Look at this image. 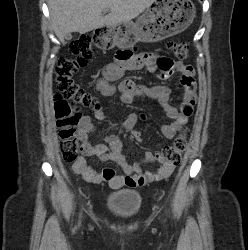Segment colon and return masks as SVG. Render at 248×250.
I'll use <instances>...</instances> for the list:
<instances>
[{
	"label": "colon",
	"instance_id": "5ec220e1",
	"mask_svg": "<svg viewBox=\"0 0 248 250\" xmlns=\"http://www.w3.org/2000/svg\"><path fill=\"white\" fill-rule=\"evenodd\" d=\"M95 38L82 35L71 42L68 54L62 56L56 68V82L59 93L55 96L54 108L59 129L61 154L65 162L78 163L81 159L77 126L80 122V109H95L99 106L98 99L86 92L75 80L74 75L86 66L94 57ZM168 49L179 59L189 55V45L185 42L169 41ZM131 52L122 51L117 55L119 61L129 56ZM186 112L190 114L191 108ZM133 138L140 139V133L134 131ZM187 148L186 133L179 134L171 145L164 146L161 154L172 166L179 164Z\"/></svg>",
	"mask_w": 248,
	"mask_h": 250
}]
</instances>
